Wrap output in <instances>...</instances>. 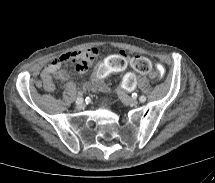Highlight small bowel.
Here are the masks:
<instances>
[{
  "label": "small bowel",
  "instance_id": "1",
  "mask_svg": "<svg viewBox=\"0 0 215 183\" xmlns=\"http://www.w3.org/2000/svg\"><path fill=\"white\" fill-rule=\"evenodd\" d=\"M71 56L83 57L86 59V64L76 68L78 74H82L88 70L96 61L99 51L95 47H89L82 51L71 53ZM60 58L53 60L41 74V84L47 92H53L55 85L53 78L60 80H67L68 75L61 69L59 62ZM127 66V69L133 75H146L152 69V60L146 54H133L128 56L125 52H115L108 58H103L98 63V70L103 75H110L114 71H120ZM92 87L94 90L100 93L107 92V86L105 85L102 76L97 72L93 82L87 86Z\"/></svg>",
  "mask_w": 215,
  "mask_h": 183
}]
</instances>
